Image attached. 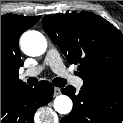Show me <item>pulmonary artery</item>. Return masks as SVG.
<instances>
[{
	"mask_svg": "<svg viewBox=\"0 0 123 123\" xmlns=\"http://www.w3.org/2000/svg\"><path fill=\"white\" fill-rule=\"evenodd\" d=\"M46 66L50 67L60 77L69 80L75 87L79 88L82 86L83 80L68 72L60 57L59 52L55 48H50L47 51L43 64L34 68L27 69L24 72V76H35L39 74Z\"/></svg>",
	"mask_w": 123,
	"mask_h": 123,
	"instance_id": "obj_1",
	"label": "pulmonary artery"
}]
</instances>
